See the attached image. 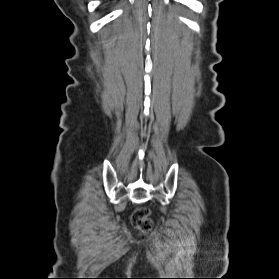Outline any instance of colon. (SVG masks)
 Segmentation results:
<instances>
[{"label": "colon", "mask_w": 279, "mask_h": 279, "mask_svg": "<svg viewBox=\"0 0 279 279\" xmlns=\"http://www.w3.org/2000/svg\"><path fill=\"white\" fill-rule=\"evenodd\" d=\"M132 222L143 233H148L153 228V224L150 219V211L145 207L134 211L132 215Z\"/></svg>", "instance_id": "colon-1"}]
</instances>
